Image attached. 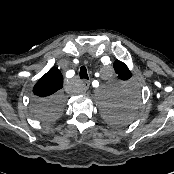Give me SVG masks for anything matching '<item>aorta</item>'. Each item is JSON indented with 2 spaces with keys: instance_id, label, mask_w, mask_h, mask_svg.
Returning a JSON list of instances; mask_svg holds the SVG:
<instances>
[{
  "instance_id": "obj_1",
  "label": "aorta",
  "mask_w": 174,
  "mask_h": 174,
  "mask_svg": "<svg viewBox=\"0 0 174 174\" xmlns=\"http://www.w3.org/2000/svg\"><path fill=\"white\" fill-rule=\"evenodd\" d=\"M100 92H101V95L104 99L110 98V91L101 89Z\"/></svg>"
}]
</instances>
